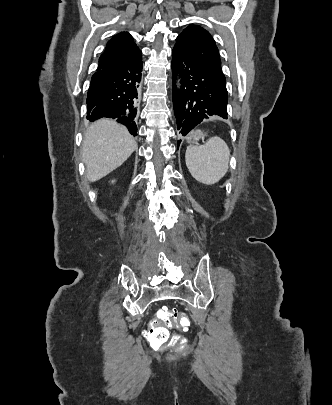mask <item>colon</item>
Segmentation results:
<instances>
[{
    "label": "colon",
    "mask_w": 332,
    "mask_h": 405,
    "mask_svg": "<svg viewBox=\"0 0 332 405\" xmlns=\"http://www.w3.org/2000/svg\"><path fill=\"white\" fill-rule=\"evenodd\" d=\"M193 321V315H186L177 310L162 309L158 312V315H152L151 317L152 326L148 332L149 340L158 347L164 345L168 340L177 343L181 341V336L178 334L170 336L165 326L170 327L175 324L177 328L185 331L190 324H193Z\"/></svg>",
    "instance_id": "obj_1"
}]
</instances>
